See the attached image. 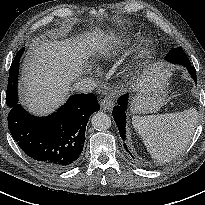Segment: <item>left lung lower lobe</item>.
Here are the masks:
<instances>
[{
  "label": "left lung lower lobe",
  "mask_w": 205,
  "mask_h": 205,
  "mask_svg": "<svg viewBox=\"0 0 205 205\" xmlns=\"http://www.w3.org/2000/svg\"><path fill=\"white\" fill-rule=\"evenodd\" d=\"M185 66L193 80L196 82V70L194 66L191 64L183 65ZM127 101H128V94L121 96L118 99V106H115L113 109V117L118 126L119 133L122 139H125V126H126V110H127ZM124 148L128 151L126 144H124Z\"/></svg>",
  "instance_id": "1"
}]
</instances>
